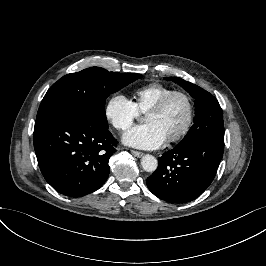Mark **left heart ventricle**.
Wrapping results in <instances>:
<instances>
[{
    "mask_svg": "<svg viewBox=\"0 0 266 266\" xmlns=\"http://www.w3.org/2000/svg\"><path fill=\"white\" fill-rule=\"evenodd\" d=\"M189 107L183 97H175L162 112H147L145 121L156 124L166 139L175 136L185 124Z\"/></svg>",
    "mask_w": 266,
    "mask_h": 266,
    "instance_id": "left-heart-ventricle-1",
    "label": "left heart ventricle"
}]
</instances>
